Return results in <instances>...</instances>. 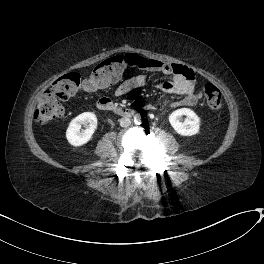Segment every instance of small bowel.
I'll return each instance as SVG.
<instances>
[{"label": "small bowel", "instance_id": "small-bowel-1", "mask_svg": "<svg viewBox=\"0 0 264 264\" xmlns=\"http://www.w3.org/2000/svg\"><path fill=\"white\" fill-rule=\"evenodd\" d=\"M137 67L148 72H158L170 76V80L152 83L144 75H136L124 80L116 89L117 96L126 95L146 85H153L157 89L170 95H182L184 98L170 103L173 107H191L197 104L202 96L197 87L193 71L183 64L169 63L155 59L134 55ZM147 110H154L153 104L146 105Z\"/></svg>", "mask_w": 264, "mask_h": 264}]
</instances>
